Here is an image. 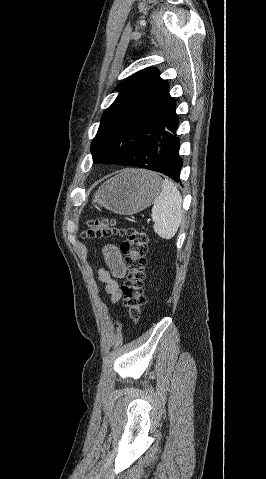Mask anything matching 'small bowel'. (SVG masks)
Returning <instances> with one entry per match:
<instances>
[{
  "mask_svg": "<svg viewBox=\"0 0 266 479\" xmlns=\"http://www.w3.org/2000/svg\"><path fill=\"white\" fill-rule=\"evenodd\" d=\"M108 270L100 269L98 271L99 280L105 285V289L110 296L112 303H116L121 298L119 289V280L126 275V267L118 248L114 245H107L103 249Z\"/></svg>",
  "mask_w": 266,
  "mask_h": 479,
  "instance_id": "small-bowel-1",
  "label": "small bowel"
}]
</instances>
